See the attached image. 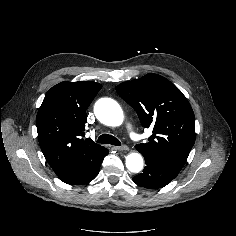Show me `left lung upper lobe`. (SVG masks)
<instances>
[{
	"label": "left lung upper lobe",
	"instance_id": "left-lung-upper-lobe-1",
	"mask_svg": "<svg viewBox=\"0 0 236 236\" xmlns=\"http://www.w3.org/2000/svg\"><path fill=\"white\" fill-rule=\"evenodd\" d=\"M116 91L135 109L142 126L153 129L149 142L136 149L180 172L196 138L194 113L183 93L152 73L121 83Z\"/></svg>",
	"mask_w": 236,
	"mask_h": 236
}]
</instances>
